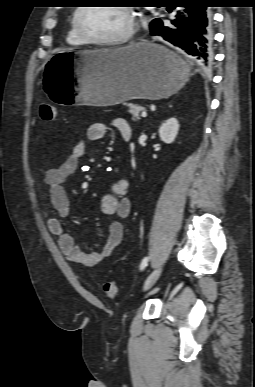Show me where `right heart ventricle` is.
Returning a JSON list of instances; mask_svg holds the SVG:
<instances>
[{
	"instance_id": "e07e8e85",
	"label": "right heart ventricle",
	"mask_w": 255,
	"mask_h": 387,
	"mask_svg": "<svg viewBox=\"0 0 255 387\" xmlns=\"http://www.w3.org/2000/svg\"><path fill=\"white\" fill-rule=\"evenodd\" d=\"M73 16H74V14L72 15V18L70 21V26H69V29L67 32L66 41L70 45L82 46L85 44V42L77 35V33L75 31L74 24H73Z\"/></svg>"
}]
</instances>
